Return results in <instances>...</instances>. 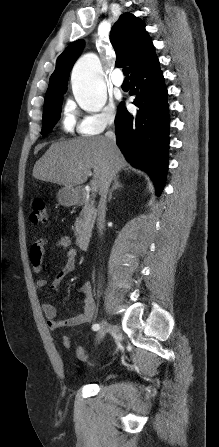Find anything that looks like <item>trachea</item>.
I'll return each instance as SVG.
<instances>
[{
	"label": "trachea",
	"instance_id": "trachea-1",
	"mask_svg": "<svg viewBox=\"0 0 219 447\" xmlns=\"http://www.w3.org/2000/svg\"><path fill=\"white\" fill-rule=\"evenodd\" d=\"M123 74L126 76V78H128V75H129V68L128 67H124L123 68Z\"/></svg>",
	"mask_w": 219,
	"mask_h": 447
}]
</instances>
